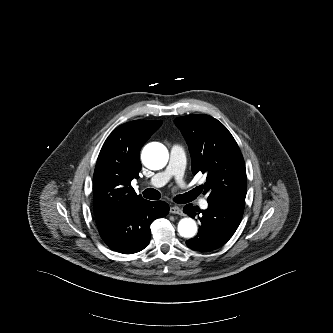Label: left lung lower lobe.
I'll list each match as a JSON object with an SVG mask.
<instances>
[{"label":"left lung lower lobe","mask_w":333,"mask_h":333,"mask_svg":"<svg viewBox=\"0 0 333 333\" xmlns=\"http://www.w3.org/2000/svg\"><path fill=\"white\" fill-rule=\"evenodd\" d=\"M207 210L192 204L183 211L190 217L199 216L201 227L196 237L186 241L188 247L202 252L224 245L238 228L245 206V197H225L208 202Z\"/></svg>","instance_id":"obj_1"}]
</instances>
